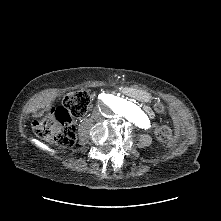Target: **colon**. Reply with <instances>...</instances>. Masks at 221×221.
Listing matches in <instances>:
<instances>
[{
    "label": "colon",
    "instance_id": "obj_1",
    "mask_svg": "<svg viewBox=\"0 0 221 221\" xmlns=\"http://www.w3.org/2000/svg\"><path fill=\"white\" fill-rule=\"evenodd\" d=\"M90 103V95L87 91L68 92L64 95L62 106L55 108L50 114L35 120L33 128L39 137L51 138L60 147H71L75 143L76 132L72 123L73 118L82 116ZM157 111L163 110L160 102H155ZM156 136L161 142H168L169 146L176 144L172 138L170 127L164 125L158 128Z\"/></svg>",
    "mask_w": 221,
    "mask_h": 221
}]
</instances>
